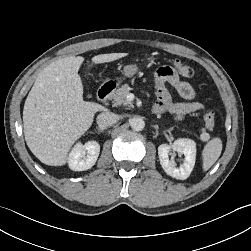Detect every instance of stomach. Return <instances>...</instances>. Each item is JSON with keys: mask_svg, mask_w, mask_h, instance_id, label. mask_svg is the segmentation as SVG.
Returning <instances> with one entry per match:
<instances>
[{"mask_svg": "<svg viewBox=\"0 0 251 251\" xmlns=\"http://www.w3.org/2000/svg\"><path fill=\"white\" fill-rule=\"evenodd\" d=\"M146 60H149V58H146ZM138 66L136 64H129L124 66L123 68V74L125 77L131 78L138 72Z\"/></svg>", "mask_w": 251, "mask_h": 251, "instance_id": "obj_1", "label": "stomach"}]
</instances>
